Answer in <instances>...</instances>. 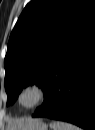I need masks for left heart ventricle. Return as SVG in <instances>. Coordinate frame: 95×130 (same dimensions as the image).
<instances>
[{
    "label": "left heart ventricle",
    "mask_w": 95,
    "mask_h": 130,
    "mask_svg": "<svg viewBox=\"0 0 95 130\" xmlns=\"http://www.w3.org/2000/svg\"><path fill=\"white\" fill-rule=\"evenodd\" d=\"M36 99H37V92L34 90H28L22 94L20 102L24 106H29L33 104L36 101Z\"/></svg>",
    "instance_id": "obj_1"
}]
</instances>
